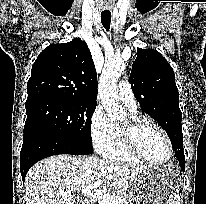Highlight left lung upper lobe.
<instances>
[{
    "label": "left lung upper lobe",
    "mask_w": 206,
    "mask_h": 204,
    "mask_svg": "<svg viewBox=\"0 0 206 204\" xmlns=\"http://www.w3.org/2000/svg\"><path fill=\"white\" fill-rule=\"evenodd\" d=\"M129 81L141 108L164 128L173 149L183 150L179 92L166 59L154 49L137 48Z\"/></svg>",
    "instance_id": "obj_1"
}]
</instances>
